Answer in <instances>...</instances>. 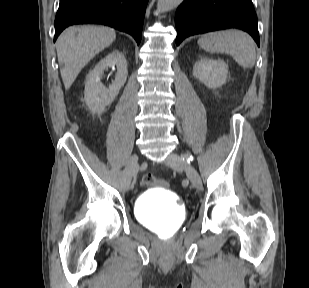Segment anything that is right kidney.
<instances>
[{
  "instance_id": "ca27d5eb",
  "label": "right kidney",
  "mask_w": 309,
  "mask_h": 288,
  "mask_svg": "<svg viewBox=\"0 0 309 288\" xmlns=\"http://www.w3.org/2000/svg\"><path fill=\"white\" fill-rule=\"evenodd\" d=\"M117 66L115 80L106 88L100 82V76L109 67ZM128 76L127 62L123 53L113 51L102 59L95 68L89 72L84 90V100L89 110L101 114L117 97L120 88L125 84Z\"/></svg>"
}]
</instances>
